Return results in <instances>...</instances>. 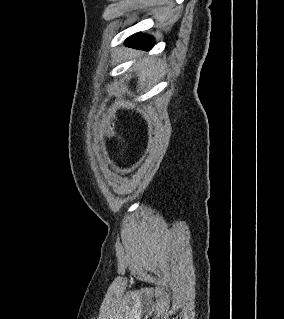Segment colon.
<instances>
[{
	"mask_svg": "<svg viewBox=\"0 0 284 319\" xmlns=\"http://www.w3.org/2000/svg\"><path fill=\"white\" fill-rule=\"evenodd\" d=\"M108 135H109V137H111V138L114 137V135H113L112 133H110V132H108Z\"/></svg>",
	"mask_w": 284,
	"mask_h": 319,
	"instance_id": "obj_1",
	"label": "colon"
}]
</instances>
